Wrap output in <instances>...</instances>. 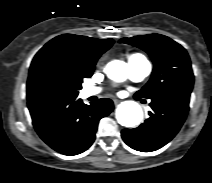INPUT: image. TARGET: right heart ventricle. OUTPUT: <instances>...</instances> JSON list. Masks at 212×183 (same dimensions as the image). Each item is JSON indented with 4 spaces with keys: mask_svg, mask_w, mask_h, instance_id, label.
I'll list each match as a JSON object with an SVG mask.
<instances>
[{
    "mask_svg": "<svg viewBox=\"0 0 212 183\" xmlns=\"http://www.w3.org/2000/svg\"><path fill=\"white\" fill-rule=\"evenodd\" d=\"M137 56H142V55H140V54H132V55L129 56V59L137 57Z\"/></svg>",
    "mask_w": 212,
    "mask_h": 183,
    "instance_id": "e07e8e85",
    "label": "right heart ventricle"
}]
</instances>
